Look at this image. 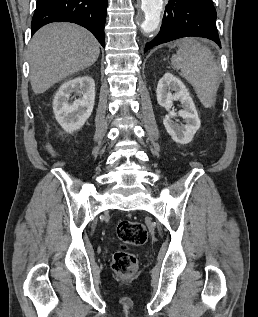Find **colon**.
<instances>
[{"label": "colon", "instance_id": "1", "mask_svg": "<svg viewBox=\"0 0 258 317\" xmlns=\"http://www.w3.org/2000/svg\"><path fill=\"white\" fill-rule=\"evenodd\" d=\"M117 236L121 246L112 256L111 267L119 274L130 275L137 269V258L128 250V246L144 244L148 237L147 230L140 222L124 220L117 226Z\"/></svg>", "mask_w": 258, "mask_h": 317}]
</instances>
